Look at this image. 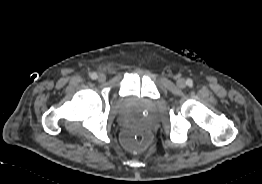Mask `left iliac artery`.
<instances>
[{
    "instance_id": "left-iliac-artery-1",
    "label": "left iliac artery",
    "mask_w": 262,
    "mask_h": 184,
    "mask_svg": "<svg viewBox=\"0 0 262 184\" xmlns=\"http://www.w3.org/2000/svg\"><path fill=\"white\" fill-rule=\"evenodd\" d=\"M186 84L188 86H192L193 85V81L191 79H187Z\"/></svg>"
}]
</instances>
